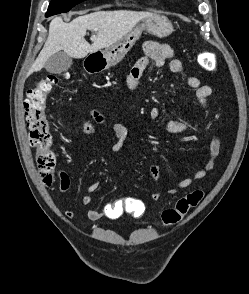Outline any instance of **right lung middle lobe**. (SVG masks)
Returning a JSON list of instances; mask_svg holds the SVG:
<instances>
[{"label":"right lung middle lobe","mask_w":249,"mask_h":294,"mask_svg":"<svg viewBox=\"0 0 249 294\" xmlns=\"http://www.w3.org/2000/svg\"><path fill=\"white\" fill-rule=\"evenodd\" d=\"M85 0H52L48 10L46 12V17L68 12L76 4L81 3Z\"/></svg>","instance_id":"obj_1"}]
</instances>
